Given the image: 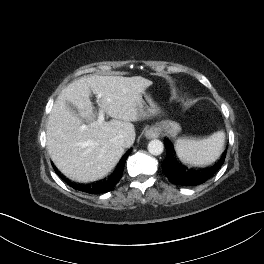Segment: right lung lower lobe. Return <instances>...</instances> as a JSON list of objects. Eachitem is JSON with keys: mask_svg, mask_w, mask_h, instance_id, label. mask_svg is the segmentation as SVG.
Listing matches in <instances>:
<instances>
[{"mask_svg": "<svg viewBox=\"0 0 264 264\" xmlns=\"http://www.w3.org/2000/svg\"><path fill=\"white\" fill-rule=\"evenodd\" d=\"M127 157H128V154L124 156L123 160L119 163V165L116 167V169L113 171V173L110 175L108 179L97 182L93 185H77L67 180L66 182L69 186H72L74 189L83 191L86 193H94V194L106 193L110 191L117 184V182L121 179Z\"/></svg>", "mask_w": 264, "mask_h": 264, "instance_id": "right-lung-lower-lobe-1", "label": "right lung lower lobe"}]
</instances>
